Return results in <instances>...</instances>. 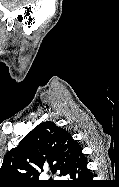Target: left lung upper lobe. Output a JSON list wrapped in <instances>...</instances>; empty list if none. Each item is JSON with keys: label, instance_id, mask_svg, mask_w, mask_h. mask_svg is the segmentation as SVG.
Segmentation results:
<instances>
[{"label": "left lung upper lobe", "instance_id": "left-lung-upper-lobe-1", "mask_svg": "<svg viewBox=\"0 0 119 187\" xmlns=\"http://www.w3.org/2000/svg\"><path fill=\"white\" fill-rule=\"evenodd\" d=\"M77 145L71 134L56 123H40L6 154L0 169V187L21 186L29 178L38 177L43 167L65 175Z\"/></svg>", "mask_w": 119, "mask_h": 187}]
</instances>
